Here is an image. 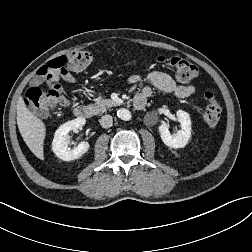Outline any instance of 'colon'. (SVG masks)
<instances>
[{
	"instance_id": "colon-1",
	"label": "colon",
	"mask_w": 252,
	"mask_h": 252,
	"mask_svg": "<svg viewBox=\"0 0 252 252\" xmlns=\"http://www.w3.org/2000/svg\"><path fill=\"white\" fill-rule=\"evenodd\" d=\"M93 60V55L89 51L79 50L68 56H60L49 61L37 72L35 83L30 87L25 95L24 103L28 109L38 114H46L58 105H65L67 100L62 86L58 83L60 74L68 66L75 71L87 68ZM136 62V61H134ZM158 63L169 65L176 77L182 81H189L197 77V67L189 61L180 57H159ZM47 83L48 88L39 87L40 83ZM206 106L202 112V117L206 125L214 127L221 117V107L215 95L207 91L204 93Z\"/></svg>"
}]
</instances>
